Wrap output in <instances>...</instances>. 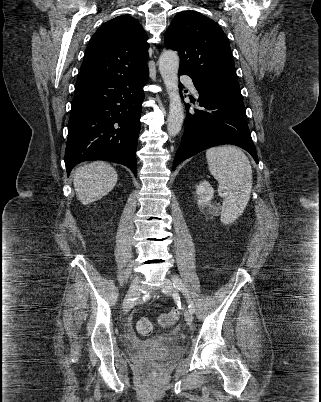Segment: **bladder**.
<instances>
[{"label":"bladder","mask_w":321,"mask_h":402,"mask_svg":"<svg viewBox=\"0 0 321 402\" xmlns=\"http://www.w3.org/2000/svg\"><path fill=\"white\" fill-rule=\"evenodd\" d=\"M149 342V348H154V346L152 344H154L156 342V339H151L148 341Z\"/></svg>","instance_id":"obj_1"}]
</instances>
